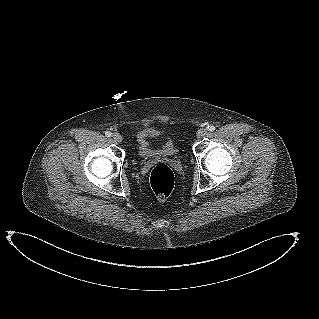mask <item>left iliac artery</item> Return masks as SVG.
<instances>
[{
	"mask_svg": "<svg viewBox=\"0 0 319 319\" xmlns=\"http://www.w3.org/2000/svg\"><path fill=\"white\" fill-rule=\"evenodd\" d=\"M208 130L213 132L215 130V126L214 125H210L208 126Z\"/></svg>",
	"mask_w": 319,
	"mask_h": 319,
	"instance_id": "44dca946",
	"label": "left iliac artery"
}]
</instances>
